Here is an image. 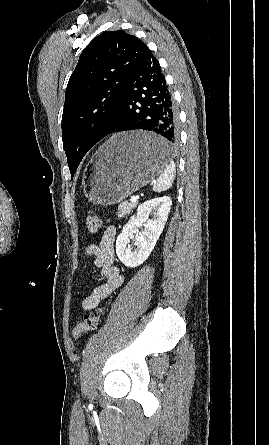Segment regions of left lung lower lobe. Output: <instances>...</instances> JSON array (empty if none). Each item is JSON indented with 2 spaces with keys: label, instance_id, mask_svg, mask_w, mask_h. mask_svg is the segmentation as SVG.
Masks as SVG:
<instances>
[{
  "label": "left lung lower lobe",
  "instance_id": "0a47b994",
  "mask_svg": "<svg viewBox=\"0 0 269 445\" xmlns=\"http://www.w3.org/2000/svg\"><path fill=\"white\" fill-rule=\"evenodd\" d=\"M136 129L157 133L169 148L178 140V115L173 97L159 62L148 47L122 95L119 116L103 137Z\"/></svg>",
  "mask_w": 269,
  "mask_h": 445
}]
</instances>
